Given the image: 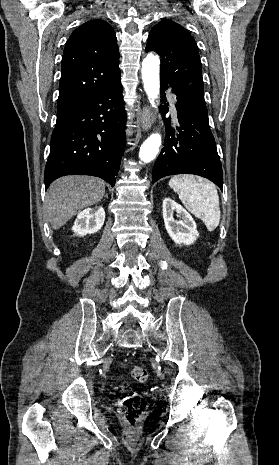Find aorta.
I'll return each mask as SVG.
<instances>
[{"instance_id":"1","label":"aorta","mask_w":279,"mask_h":465,"mask_svg":"<svg viewBox=\"0 0 279 465\" xmlns=\"http://www.w3.org/2000/svg\"><path fill=\"white\" fill-rule=\"evenodd\" d=\"M159 71V57L148 54L143 59L141 72L145 92L153 107H156L155 101L157 102L160 93ZM160 145L161 135L159 133L151 134L140 147V160L145 163L152 161L158 154Z\"/></svg>"}]
</instances>
